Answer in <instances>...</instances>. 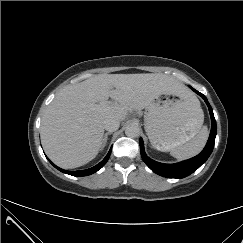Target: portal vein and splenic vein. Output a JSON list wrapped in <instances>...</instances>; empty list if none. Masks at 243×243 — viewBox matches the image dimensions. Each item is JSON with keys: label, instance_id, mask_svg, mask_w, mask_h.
<instances>
[{"label": "portal vein and splenic vein", "instance_id": "1", "mask_svg": "<svg viewBox=\"0 0 243 243\" xmlns=\"http://www.w3.org/2000/svg\"><path fill=\"white\" fill-rule=\"evenodd\" d=\"M111 104H109V103H100L99 105H97V109L98 110H108V109H110L111 108Z\"/></svg>", "mask_w": 243, "mask_h": 243}]
</instances>
